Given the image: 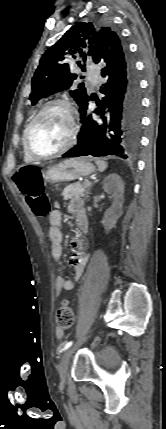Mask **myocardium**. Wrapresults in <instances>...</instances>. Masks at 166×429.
Returning a JSON list of instances; mask_svg holds the SVG:
<instances>
[{
    "instance_id": "obj_1",
    "label": "myocardium",
    "mask_w": 166,
    "mask_h": 429,
    "mask_svg": "<svg viewBox=\"0 0 166 429\" xmlns=\"http://www.w3.org/2000/svg\"><path fill=\"white\" fill-rule=\"evenodd\" d=\"M57 107L63 109L66 112L68 117L69 129H68L67 141L59 150L55 151L54 153H51L48 155L37 154L36 152L33 151V149L30 146V136L33 131V128L43 114H45L50 109L57 108ZM76 129L77 127H76L75 110L71 105V103L64 99H55V100L49 101L37 112V114L33 117V119L28 124L23 138L24 149L27 152V154L35 161H45V160L56 158L64 154L65 152H67L72 147L76 137Z\"/></svg>"
}]
</instances>
